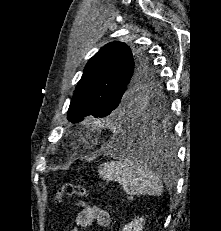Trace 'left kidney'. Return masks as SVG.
<instances>
[{"label":"left kidney","mask_w":221,"mask_h":231,"mask_svg":"<svg viewBox=\"0 0 221 231\" xmlns=\"http://www.w3.org/2000/svg\"><path fill=\"white\" fill-rule=\"evenodd\" d=\"M145 220L143 218L134 219L129 224H126L122 231H142Z\"/></svg>","instance_id":"5707ae66"}]
</instances>
